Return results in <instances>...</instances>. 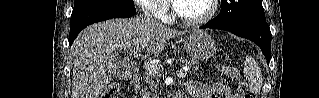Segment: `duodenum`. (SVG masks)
<instances>
[{"label": "duodenum", "mask_w": 319, "mask_h": 98, "mask_svg": "<svg viewBox=\"0 0 319 98\" xmlns=\"http://www.w3.org/2000/svg\"><path fill=\"white\" fill-rule=\"evenodd\" d=\"M140 82V74L138 72H135L132 76L131 83L133 86H136ZM174 98H185L182 92H178Z\"/></svg>", "instance_id": "duodenum-1"}]
</instances>
